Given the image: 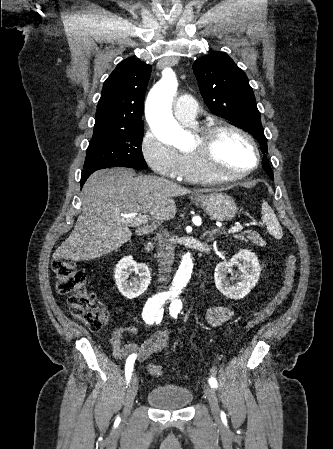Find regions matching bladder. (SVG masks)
<instances>
[{
	"mask_svg": "<svg viewBox=\"0 0 333 449\" xmlns=\"http://www.w3.org/2000/svg\"><path fill=\"white\" fill-rule=\"evenodd\" d=\"M146 400L157 409L178 410L191 404L193 393L186 386L163 384L152 387L147 393Z\"/></svg>",
	"mask_w": 333,
	"mask_h": 449,
	"instance_id": "bladder-1",
	"label": "bladder"
}]
</instances>
